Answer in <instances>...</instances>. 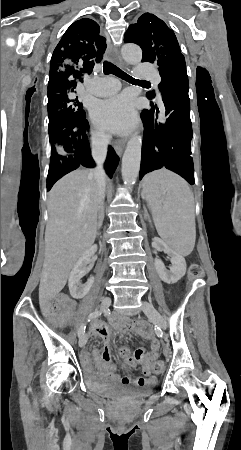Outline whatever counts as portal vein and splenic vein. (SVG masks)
Segmentation results:
<instances>
[{"label": "portal vein and splenic vein", "instance_id": "18ae733b", "mask_svg": "<svg viewBox=\"0 0 241 450\" xmlns=\"http://www.w3.org/2000/svg\"><path fill=\"white\" fill-rule=\"evenodd\" d=\"M145 205H146V204H145ZM148 206H149V207H152V206H153V203H152V202H149V203H148Z\"/></svg>", "mask_w": 241, "mask_h": 450}]
</instances>
